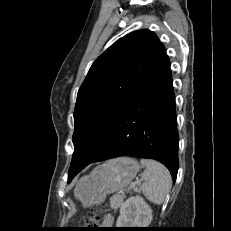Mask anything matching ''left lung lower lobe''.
Listing matches in <instances>:
<instances>
[{
  "label": "left lung lower lobe",
  "instance_id": "1",
  "mask_svg": "<svg viewBox=\"0 0 231 231\" xmlns=\"http://www.w3.org/2000/svg\"><path fill=\"white\" fill-rule=\"evenodd\" d=\"M172 83L164 48L84 167L117 156L150 158L163 163L175 181L178 133ZM84 167L69 173L68 182Z\"/></svg>",
  "mask_w": 231,
  "mask_h": 231
}]
</instances>
